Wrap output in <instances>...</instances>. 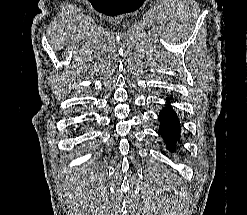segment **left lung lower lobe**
Returning a JSON list of instances; mask_svg holds the SVG:
<instances>
[{"label":"left lung lower lobe","instance_id":"1","mask_svg":"<svg viewBox=\"0 0 247 215\" xmlns=\"http://www.w3.org/2000/svg\"><path fill=\"white\" fill-rule=\"evenodd\" d=\"M161 121L159 134L164 138L167 147L173 151L175 142L180 137L181 127L179 125L178 117L172 108H164L159 114Z\"/></svg>","mask_w":247,"mask_h":215}]
</instances>
